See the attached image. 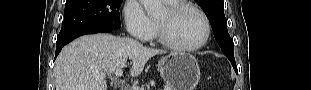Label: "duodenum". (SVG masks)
<instances>
[{"mask_svg":"<svg viewBox=\"0 0 311 90\" xmlns=\"http://www.w3.org/2000/svg\"><path fill=\"white\" fill-rule=\"evenodd\" d=\"M118 90H128L126 87H116Z\"/></svg>","mask_w":311,"mask_h":90,"instance_id":"obj_1","label":"duodenum"}]
</instances>
